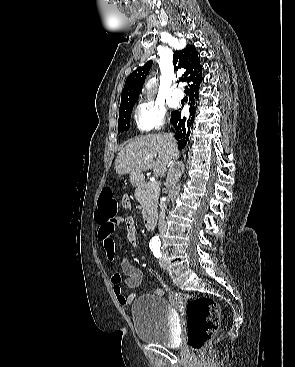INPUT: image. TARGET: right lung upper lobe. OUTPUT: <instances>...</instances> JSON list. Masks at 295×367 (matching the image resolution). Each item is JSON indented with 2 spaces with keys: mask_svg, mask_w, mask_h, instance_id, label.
Masks as SVG:
<instances>
[{
  "mask_svg": "<svg viewBox=\"0 0 295 367\" xmlns=\"http://www.w3.org/2000/svg\"><path fill=\"white\" fill-rule=\"evenodd\" d=\"M173 64L175 69L184 70L181 81L188 83L186 92L200 84L202 80V65L200 64V56L194 46L187 45L183 50L175 51L173 55ZM151 65L152 61H149L128 76L122 91L121 105L137 101L142 90V84L144 83Z\"/></svg>",
  "mask_w": 295,
  "mask_h": 367,
  "instance_id": "1",
  "label": "right lung upper lobe"
}]
</instances>
